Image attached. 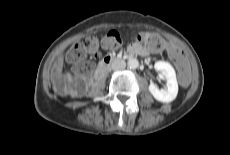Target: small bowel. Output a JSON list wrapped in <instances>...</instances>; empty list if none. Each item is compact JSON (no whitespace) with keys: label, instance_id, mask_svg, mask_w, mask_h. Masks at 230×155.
<instances>
[{"label":"small bowel","instance_id":"c3829d8e","mask_svg":"<svg viewBox=\"0 0 230 155\" xmlns=\"http://www.w3.org/2000/svg\"><path fill=\"white\" fill-rule=\"evenodd\" d=\"M162 47H153V46H143L139 42H134L130 45L129 50L135 52L138 55H148L153 53H158Z\"/></svg>","mask_w":230,"mask_h":155}]
</instances>
